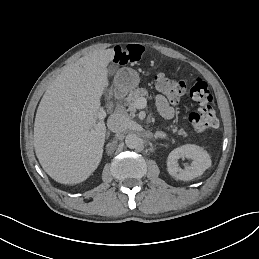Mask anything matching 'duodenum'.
<instances>
[{
    "mask_svg": "<svg viewBox=\"0 0 259 259\" xmlns=\"http://www.w3.org/2000/svg\"><path fill=\"white\" fill-rule=\"evenodd\" d=\"M125 94H126V91L123 88L117 89L115 92L116 101L122 100L124 98Z\"/></svg>",
    "mask_w": 259,
    "mask_h": 259,
    "instance_id": "1",
    "label": "duodenum"
}]
</instances>
